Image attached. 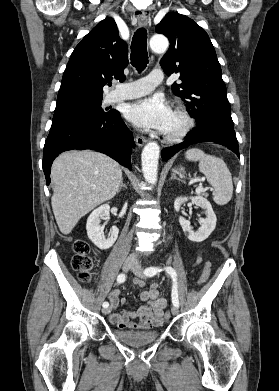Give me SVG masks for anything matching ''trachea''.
Instances as JSON below:
<instances>
[{
	"instance_id": "trachea-1",
	"label": "trachea",
	"mask_w": 279,
	"mask_h": 391,
	"mask_svg": "<svg viewBox=\"0 0 279 391\" xmlns=\"http://www.w3.org/2000/svg\"><path fill=\"white\" fill-rule=\"evenodd\" d=\"M131 64L141 73L148 64L147 31L139 28L134 33L131 43Z\"/></svg>"
}]
</instances>
